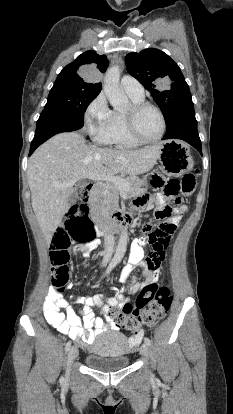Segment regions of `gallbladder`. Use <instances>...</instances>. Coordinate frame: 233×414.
Masks as SVG:
<instances>
[{
	"label": "gallbladder",
	"instance_id": "bac80fb5",
	"mask_svg": "<svg viewBox=\"0 0 233 414\" xmlns=\"http://www.w3.org/2000/svg\"><path fill=\"white\" fill-rule=\"evenodd\" d=\"M85 185V183H79L74 192L71 194L70 198L68 199V204L69 206L75 204L76 200H77V189L82 188Z\"/></svg>",
	"mask_w": 233,
	"mask_h": 414
}]
</instances>
